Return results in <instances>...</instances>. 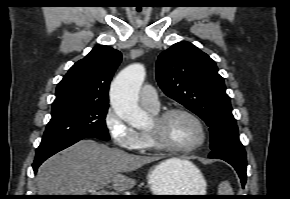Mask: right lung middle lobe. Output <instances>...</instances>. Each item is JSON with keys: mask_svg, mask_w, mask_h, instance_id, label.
I'll list each match as a JSON object with an SVG mask.
<instances>
[{"mask_svg": "<svg viewBox=\"0 0 290 199\" xmlns=\"http://www.w3.org/2000/svg\"><path fill=\"white\" fill-rule=\"evenodd\" d=\"M108 104L75 103L52 108V118L38 148L86 137L109 140L105 117Z\"/></svg>", "mask_w": 290, "mask_h": 199, "instance_id": "1", "label": "right lung middle lobe"}]
</instances>
